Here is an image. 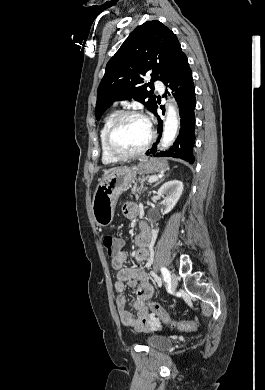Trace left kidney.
Segmentation results:
<instances>
[{
  "label": "left kidney",
  "instance_id": "left-kidney-1",
  "mask_svg": "<svg viewBox=\"0 0 265 390\" xmlns=\"http://www.w3.org/2000/svg\"><path fill=\"white\" fill-rule=\"evenodd\" d=\"M183 188V183L180 180H170L159 188L158 196L164 198L165 214L174 208L182 195Z\"/></svg>",
  "mask_w": 265,
  "mask_h": 390
}]
</instances>
